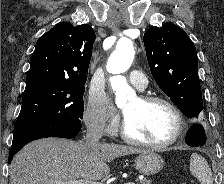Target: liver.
I'll list each match as a JSON object with an SVG mask.
<instances>
[{
  "label": "liver",
  "instance_id": "liver-1",
  "mask_svg": "<svg viewBox=\"0 0 224 184\" xmlns=\"http://www.w3.org/2000/svg\"><path fill=\"white\" fill-rule=\"evenodd\" d=\"M142 152L145 151L125 145L99 143L88 146L66 139H40L15 155L9 167L10 184L98 181L109 174L108 162Z\"/></svg>",
  "mask_w": 224,
  "mask_h": 184
}]
</instances>
